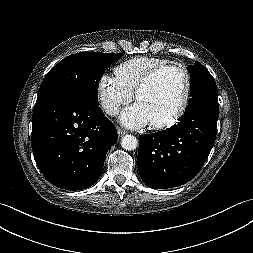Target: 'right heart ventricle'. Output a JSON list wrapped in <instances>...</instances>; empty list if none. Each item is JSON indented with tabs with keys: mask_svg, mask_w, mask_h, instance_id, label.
I'll use <instances>...</instances> for the list:
<instances>
[{
	"mask_svg": "<svg viewBox=\"0 0 253 253\" xmlns=\"http://www.w3.org/2000/svg\"><path fill=\"white\" fill-rule=\"evenodd\" d=\"M168 63L167 59L158 57H134L115 68V78L126 90L134 94L137 85L150 70Z\"/></svg>",
	"mask_w": 253,
	"mask_h": 253,
	"instance_id": "right-heart-ventricle-1",
	"label": "right heart ventricle"
}]
</instances>
